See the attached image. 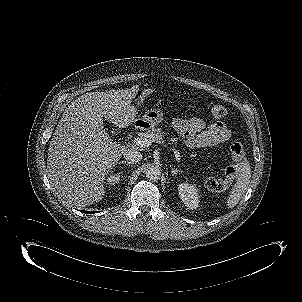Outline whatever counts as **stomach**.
Listing matches in <instances>:
<instances>
[{"label":"stomach","instance_id":"stomach-1","mask_svg":"<svg viewBox=\"0 0 302 302\" xmlns=\"http://www.w3.org/2000/svg\"><path fill=\"white\" fill-rule=\"evenodd\" d=\"M162 120L163 113L156 108H151L141 118L137 119L136 123L142 129L148 130L158 125Z\"/></svg>","mask_w":302,"mask_h":302}]
</instances>
